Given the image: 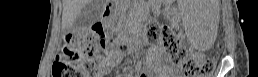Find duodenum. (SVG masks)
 I'll use <instances>...</instances> for the list:
<instances>
[{
  "instance_id": "410a0bca",
  "label": "duodenum",
  "mask_w": 258,
  "mask_h": 77,
  "mask_svg": "<svg viewBox=\"0 0 258 77\" xmlns=\"http://www.w3.org/2000/svg\"><path fill=\"white\" fill-rule=\"evenodd\" d=\"M108 7L106 8V12H105V14H107L108 15ZM118 43H120V40L119 41H117Z\"/></svg>"
}]
</instances>
